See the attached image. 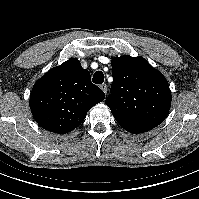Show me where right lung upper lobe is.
<instances>
[{
    "instance_id": "cb5924a9",
    "label": "right lung upper lobe",
    "mask_w": 199,
    "mask_h": 199,
    "mask_svg": "<svg viewBox=\"0 0 199 199\" xmlns=\"http://www.w3.org/2000/svg\"><path fill=\"white\" fill-rule=\"evenodd\" d=\"M104 98V92L92 84L88 70L71 58L34 84L30 109L42 128L64 134L78 127L87 112Z\"/></svg>"
}]
</instances>
